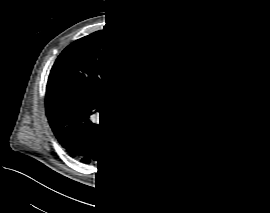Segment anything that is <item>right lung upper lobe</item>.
Listing matches in <instances>:
<instances>
[{
	"mask_svg": "<svg viewBox=\"0 0 270 213\" xmlns=\"http://www.w3.org/2000/svg\"><path fill=\"white\" fill-rule=\"evenodd\" d=\"M104 29H111V28H104ZM111 30H116V31H119V30H117V29H111ZM127 35V34H126Z\"/></svg>",
	"mask_w": 270,
	"mask_h": 213,
	"instance_id": "right-lung-upper-lobe-1",
	"label": "right lung upper lobe"
}]
</instances>
